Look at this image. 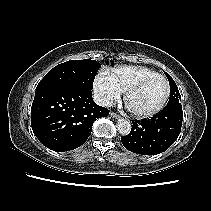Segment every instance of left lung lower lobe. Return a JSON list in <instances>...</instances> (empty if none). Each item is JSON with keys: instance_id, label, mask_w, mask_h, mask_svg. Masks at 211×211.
Segmentation results:
<instances>
[{"instance_id": "1", "label": "left lung lower lobe", "mask_w": 211, "mask_h": 211, "mask_svg": "<svg viewBox=\"0 0 211 211\" xmlns=\"http://www.w3.org/2000/svg\"><path fill=\"white\" fill-rule=\"evenodd\" d=\"M183 120L180 103L170 104L154 117L134 120L131 132L121 137L123 146L142 155H156L167 150L178 138Z\"/></svg>"}]
</instances>
